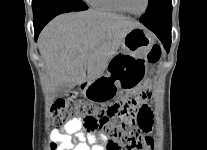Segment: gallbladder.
<instances>
[{
    "instance_id": "gallbladder-1",
    "label": "gallbladder",
    "mask_w": 207,
    "mask_h": 150,
    "mask_svg": "<svg viewBox=\"0 0 207 150\" xmlns=\"http://www.w3.org/2000/svg\"><path fill=\"white\" fill-rule=\"evenodd\" d=\"M66 90H68V86H66V85H61V86H59V88H58V90H57V94H58L59 96H61V95H63V94L66 92Z\"/></svg>"
}]
</instances>
